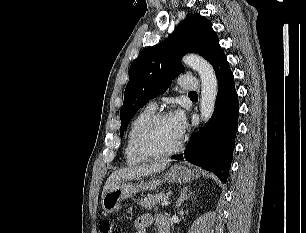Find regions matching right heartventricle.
I'll return each instance as SVG.
<instances>
[{
  "mask_svg": "<svg viewBox=\"0 0 306 233\" xmlns=\"http://www.w3.org/2000/svg\"><path fill=\"white\" fill-rule=\"evenodd\" d=\"M153 114L154 108L147 106L134 117L130 124L125 145V156L129 164H136L147 159L137 154L134 147V138L140 126Z\"/></svg>",
  "mask_w": 306,
  "mask_h": 233,
  "instance_id": "e07e8e85",
  "label": "right heart ventricle"
}]
</instances>
